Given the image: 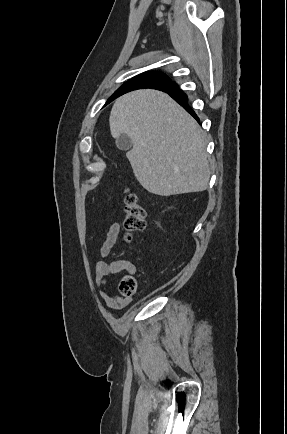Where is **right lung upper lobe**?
<instances>
[{"instance_id": "cb5924a9", "label": "right lung upper lobe", "mask_w": 287, "mask_h": 434, "mask_svg": "<svg viewBox=\"0 0 287 434\" xmlns=\"http://www.w3.org/2000/svg\"><path fill=\"white\" fill-rule=\"evenodd\" d=\"M170 83H173V82H171V80H168L167 82L160 83V84H154V85H150V86L132 87V88H129V89L125 90L124 93H127V92L132 91V90H136V89H142V88L161 89V88H165V86L168 85V84H170Z\"/></svg>"}]
</instances>
